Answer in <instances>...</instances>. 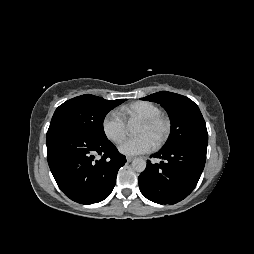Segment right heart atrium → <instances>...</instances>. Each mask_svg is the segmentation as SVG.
<instances>
[{"mask_svg":"<svg viewBox=\"0 0 254 254\" xmlns=\"http://www.w3.org/2000/svg\"><path fill=\"white\" fill-rule=\"evenodd\" d=\"M101 128L105 137L114 144H119L126 136V123L115 110L108 112L102 119Z\"/></svg>","mask_w":254,"mask_h":254,"instance_id":"1","label":"right heart atrium"}]
</instances>
